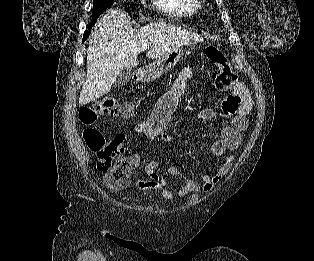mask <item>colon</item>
<instances>
[{"mask_svg": "<svg viewBox=\"0 0 314 261\" xmlns=\"http://www.w3.org/2000/svg\"><path fill=\"white\" fill-rule=\"evenodd\" d=\"M207 59L215 65L212 79L217 89L228 90L237 86V77L231 70L225 53L216 46L205 49ZM128 107H122L113 97L108 96L80 108L78 117L84 126L83 138L90 151L98 157L97 167L105 174V183L113 189H120L128 184L131 161L122 159L125 151L124 142L116 138H107L94 127L100 117L128 115Z\"/></svg>", "mask_w": 314, "mask_h": 261, "instance_id": "5ec220e1", "label": "colon"}]
</instances>
